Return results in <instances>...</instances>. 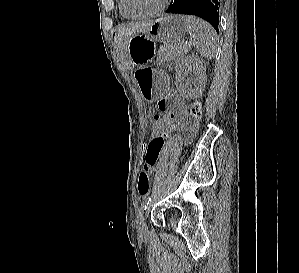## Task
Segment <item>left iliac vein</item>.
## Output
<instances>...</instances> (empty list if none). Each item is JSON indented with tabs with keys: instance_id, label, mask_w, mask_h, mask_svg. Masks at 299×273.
Returning <instances> with one entry per match:
<instances>
[{
	"instance_id": "4c4485c4",
	"label": "left iliac vein",
	"mask_w": 299,
	"mask_h": 273,
	"mask_svg": "<svg viewBox=\"0 0 299 273\" xmlns=\"http://www.w3.org/2000/svg\"><path fill=\"white\" fill-rule=\"evenodd\" d=\"M148 209L141 210L136 218V228L140 236H145L147 233L145 218L147 216Z\"/></svg>"
}]
</instances>
